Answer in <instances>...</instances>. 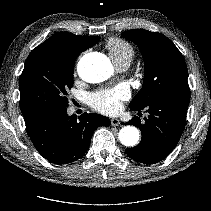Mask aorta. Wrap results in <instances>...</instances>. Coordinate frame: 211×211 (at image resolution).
<instances>
[{"mask_svg":"<svg viewBox=\"0 0 211 211\" xmlns=\"http://www.w3.org/2000/svg\"><path fill=\"white\" fill-rule=\"evenodd\" d=\"M77 70L83 80L98 83L110 76L112 66L103 54H87L78 62ZM139 136V131L134 126H125L119 131V140L125 146H135L139 141Z\"/></svg>","mask_w":211,"mask_h":211,"instance_id":"1","label":"aorta"}]
</instances>
